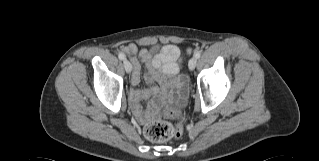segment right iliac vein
Here are the masks:
<instances>
[{
    "mask_svg": "<svg viewBox=\"0 0 319 161\" xmlns=\"http://www.w3.org/2000/svg\"><path fill=\"white\" fill-rule=\"evenodd\" d=\"M123 65H124L125 71H126L127 73H130L131 70H132V65H131V63H130L128 60L125 59V60L123 61Z\"/></svg>",
    "mask_w": 319,
    "mask_h": 161,
    "instance_id": "63e3f726",
    "label": "right iliac vein"
}]
</instances>
